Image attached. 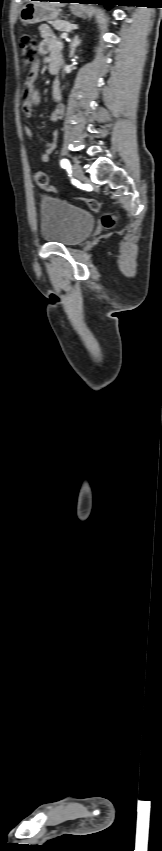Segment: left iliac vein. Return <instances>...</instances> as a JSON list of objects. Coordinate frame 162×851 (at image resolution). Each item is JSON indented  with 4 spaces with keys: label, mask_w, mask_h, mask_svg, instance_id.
Wrapping results in <instances>:
<instances>
[{
    "label": "left iliac vein",
    "mask_w": 162,
    "mask_h": 851,
    "mask_svg": "<svg viewBox=\"0 0 162 851\" xmlns=\"http://www.w3.org/2000/svg\"><path fill=\"white\" fill-rule=\"evenodd\" d=\"M72 169L76 178H78L79 180H82L84 178L83 170L78 162H75L73 164Z\"/></svg>",
    "instance_id": "left-iliac-vein-1"
}]
</instances>
